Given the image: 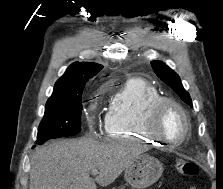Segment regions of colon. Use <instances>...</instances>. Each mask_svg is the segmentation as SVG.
Segmentation results:
<instances>
[{
    "mask_svg": "<svg viewBox=\"0 0 223 189\" xmlns=\"http://www.w3.org/2000/svg\"><path fill=\"white\" fill-rule=\"evenodd\" d=\"M175 167L178 173L187 177H194L198 174V167L193 162H189L185 160H177ZM191 189H195V188H191Z\"/></svg>",
    "mask_w": 223,
    "mask_h": 189,
    "instance_id": "1",
    "label": "colon"
}]
</instances>
